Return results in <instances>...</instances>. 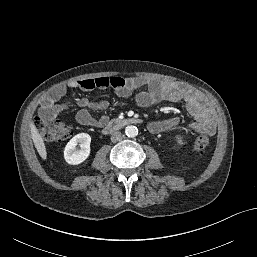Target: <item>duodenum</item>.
Returning a JSON list of instances; mask_svg holds the SVG:
<instances>
[{"instance_id":"obj_1","label":"duodenum","mask_w":257,"mask_h":257,"mask_svg":"<svg viewBox=\"0 0 257 257\" xmlns=\"http://www.w3.org/2000/svg\"><path fill=\"white\" fill-rule=\"evenodd\" d=\"M141 122L142 120L136 117L112 119L103 124V132L106 134H109L125 126L136 125V124H140Z\"/></svg>"}]
</instances>
